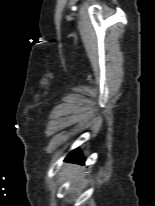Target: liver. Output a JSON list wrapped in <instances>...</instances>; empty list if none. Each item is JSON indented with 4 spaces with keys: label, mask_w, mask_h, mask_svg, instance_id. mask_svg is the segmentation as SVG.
<instances>
[{
    "label": "liver",
    "mask_w": 155,
    "mask_h": 206,
    "mask_svg": "<svg viewBox=\"0 0 155 206\" xmlns=\"http://www.w3.org/2000/svg\"><path fill=\"white\" fill-rule=\"evenodd\" d=\"M74 173H75V171H74V170H72V171H71V173H70V176H72Z\"/></svg>",
    "instance_id": "obj_1"
}]
</instances>
